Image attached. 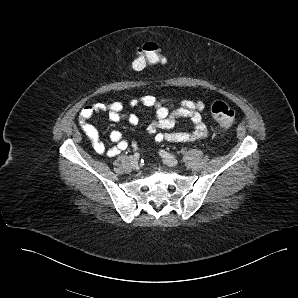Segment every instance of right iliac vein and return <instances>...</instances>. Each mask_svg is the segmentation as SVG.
<instances>
[{
	"mask_svg": "<svg viewBox=\"0 0 298 298\" xmlns=\"http://www.w3.org/2000/svg\"><path fill=\"white\" fill-rule=\"evenodd\" d=\"M129 160H130V163H131L133 166L137 165V163H138V158L135 157V156H131V157L129 158Z\"/></svg>",
	"mask_w": 298,
	"mask_h": 298,
	"instance_id": "1",
	"label": "right iliac vein"
}]
</instances>
